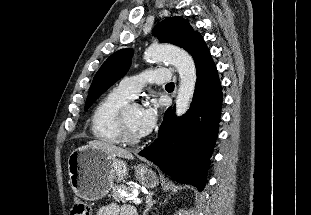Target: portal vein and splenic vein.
I'll return each mask as SVG.
<instances>
[{
  "label": "portal vein and splenic vein",
  "mask_w": 311,
  "mask_h": 215,
  "mask_svg": "<svg viewBox=\"0 0 311 215\" xmlns=\"http://www.w3.org/2000/svg\"><path fill=\"white\" fill-rule=\"evenodd\" d=\"M130 199L132 200V202L134 203V204H141V199H139V198H136V197H130Z\"/></svg>",
  "instance_id": "1"
}]
</instances>
